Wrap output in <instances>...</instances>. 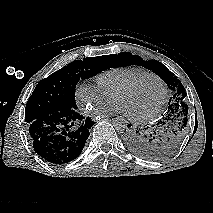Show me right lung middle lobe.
<instances>
[{"label":"right lung middle lobe","mask_w":213,"mask_h":213,"mask_svg":"<svg viewBox=\"0 0 213 213\" xmlns=\"http://www.w3.org/2000/svg\"><path fill=\"white\" fill-rule=\"evenodd\" d=\"M110 56L75 60L41 80L27 102V125L63 109H77L75 88L80 79L89 78L110 67Z\"/></svg>","instance_id":"1"}]
</instances>
